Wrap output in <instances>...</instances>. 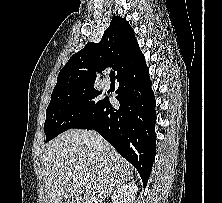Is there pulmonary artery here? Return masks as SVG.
Here are the masks:
<instances>
[{
	"instance_id": "1",
	"label": "pulmonary artery",
	"mask_w": 222,
	"mask_h": 203,
	"mask_svg": "<svg viewBox=\"0 0 222 203\" xmlns=\"http://www.w3.org/2000/svg\"><path fill=\"white\" fill-rule=\"evenodd\" d=\"M111 85V82L108 78H104L103 81H102V86L105 88V89H108Z\"/></svg>"
}]
</instances>
